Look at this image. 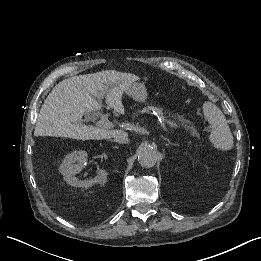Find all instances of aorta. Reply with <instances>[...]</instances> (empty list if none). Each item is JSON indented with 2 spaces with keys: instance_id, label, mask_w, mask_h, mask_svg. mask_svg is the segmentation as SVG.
<instances>
[{
  "instance_id": "obj_1",
  "label": "aorta",
  "mask_w": 261,
  "mask_h": 261,
  "mask_svg": "<svg viewBox=\"0 0 261 261\" xmlns=\"http://www.w3.org/2000/svg\"><path fill=\"white\" fill-rule=\"evenodd\" d=\"M156 151L151 146L141 147L138 150L139 164L144 168H151L156 164Z\"/></svg>"
}]
</instances>
